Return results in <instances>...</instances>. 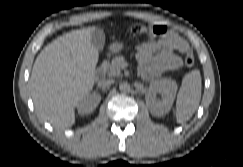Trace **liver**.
<instances>
[{
	"instance_id": "1",
	"label": "liver",
	"mask_w": 243,
	"mask_h": 167,
	"mask_svg": "<svg viewBox=\"0 0 243 167\" xmlns=\"http://www.w3.org/2000/svg\"><path fill=\"white\" fill-rule=\"evenodd\" d=\"M91 28L65 34L37 56L30 78L37 114L54 127L75 123V107L92 90L98 52Z\"/></svg>"
}]
</instances>
